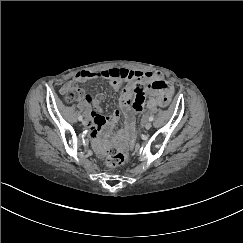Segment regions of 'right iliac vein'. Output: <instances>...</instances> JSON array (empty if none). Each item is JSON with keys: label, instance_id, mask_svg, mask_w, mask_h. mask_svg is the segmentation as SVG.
I'll return each mask as SVG.
<instances>
[{"label": "right iliac vein", "instance_id": "63e3f726", "mask_svg": "<svg viewBox=\"0 0 243 243\" xmlns=\"http://www.w3.org/2000/svg\"><path fill=\"white\" fill-rule=\"evenodd\" d=\"M87 124H88V122H87L86 119L82 120V125H83V126H86Z\"/></svg>", "mask_w": 243, "mask_h": 243}]
</instances>
